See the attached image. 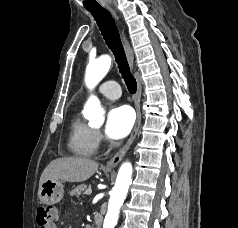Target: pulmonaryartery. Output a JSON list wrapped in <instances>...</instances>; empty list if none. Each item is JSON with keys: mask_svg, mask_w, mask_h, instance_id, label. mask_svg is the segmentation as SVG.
<instances>
[{"mask_svg": "<svg viewBox=\"0 0 238 228\" xmlns=\"http://www.w3.org/2000/svg\"><path fill=\"white\" fill-rule=\"evenodd\" d=\"M98 92L109 99H117L121 96L120 85L116 81L102 83L98 88Z\"/></svg>", "mask_w": 238, "mask_h": 228, "instance_id": "pulmonary-artery-1", "label": "pulmonary artery"}]
</instances>
